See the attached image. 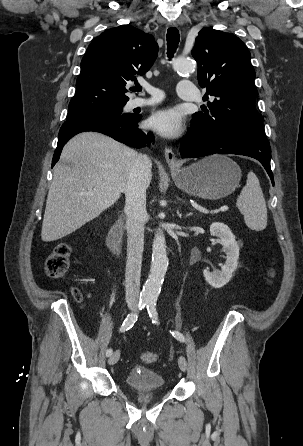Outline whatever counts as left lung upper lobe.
<instances>
[{
	"mask_svg": "<svg viewBox=\"0 0 303 446\" xmlns=\"http://www.w3.org/2000/svg\"><path fill=\"white\" fill-rule=\"evenodd\" d=\"M192 55L198 63V83L213 100L205 113L193 114L192 125L267 139L255 107V71L244 43L231 33L203 28Z\"/></svg>",
	"mask_w": 303,
	"mask_h": 446,
	"instance_id": "left-lung-upper-lobe-1",
	"label": "left lung upper lobe"
}]
</instances>
